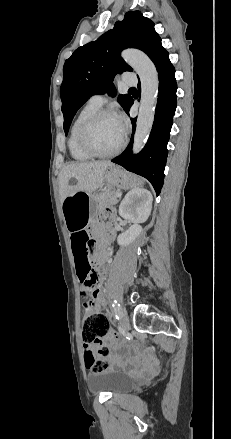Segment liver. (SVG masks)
<instances>
[{
    "label": "liver",
    "instance_id": "1",
    "mask_svg": "<svg viewBox=\"0 0 231 439\" xmlns=\"http://www.w3.org/2000/svg\"><path fill=\"white\" fill-rule=\"evenodd\" d=\"M112 166L109 161L99 162H71L65 165L59 174V194L61 203L64 199L77 191L92 192L103 185L104 173ZM76 180L70 185V179Z\"/></svg>",
    "mask_w": 231,
    "mask_h": 439
}]
</instances>
